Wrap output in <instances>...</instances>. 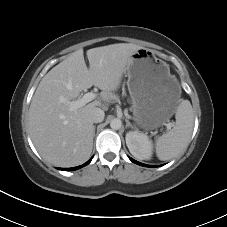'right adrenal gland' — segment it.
Segmentation results:
<instances>
[{
  "label": "right adrenal gland",
  "mask_w": 227,
  "mask_h": 227,
  "mask_svg": "<svg viewBox=\"0 0 227 227\" xmlns=\"http://www.w3.org/2000/svg\"><path fill=\"white\" fill-rule=\"evenodd\" d=\"M95 128H96V126L94 125V126H93V132H94V135H95Z\"/></svg>",
  "instance_id": "right-adrenal-gland-1"
}]
</instances>
